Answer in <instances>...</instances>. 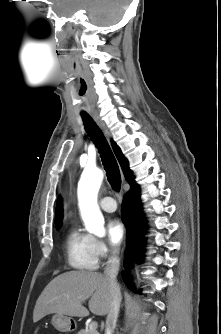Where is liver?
Returning a JSON list of instances; mask_svg holds the SVG:
<instances>
[{
	"instance_id": "liver-1",
	"label": "liver",
	"mask_w": 221,
	"mask_h": 334,
	"mask_svg": "<svg viewBox=\"0 0 221 334\" xmlns=\"http://www.w3.org/2000/svg\"><path fill=\"white\" fill-rule=\"evenodd\" d=\"M89 299L91 313L108 314L111 304L110 283L98 272L69 271L55 277L36 301L33 322L48 314L57 313L70 317H86L88 309L82 304Z\"/></svg>"
}]
</instances>
